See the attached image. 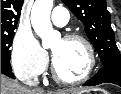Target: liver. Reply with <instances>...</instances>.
Listing matches in <instances>:
<instances>
[{
	"label": "liver",
	"instance_id": "1",
	"mask_svg": "<svg viewBox=\"0 0 121 94\" xmlns=\"http://www.w3.org/2000/svg\"><path fill=\"white\" fill-rule=\"evenodd\" d=\"M76 90L44 91L22 86L18 82L1 74V94H79Z\"/></svg>",
	"mask_w": 121,
	"mask_h": 94
}]
</instances>
